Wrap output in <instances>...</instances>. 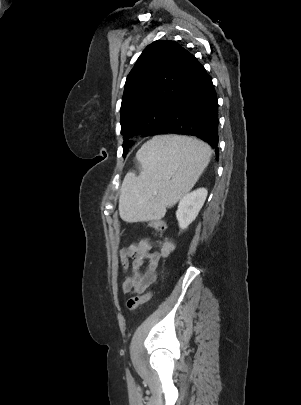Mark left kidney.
<instances>
[{"label":"left kidney","instance_id":"1","mask_svg":"<svg viewBox=\"0 0 301 405\" xmlns=\"http://www.w3.org/2000/svg\"><path fill=\"white\" fill-rule=\"evenodd\" d=\"M207 193L205 188H198L182 197L176 211L180 229H186L196 219Z\"/></svg>","mask_w":301,"mask_h":405}]
</instances>
